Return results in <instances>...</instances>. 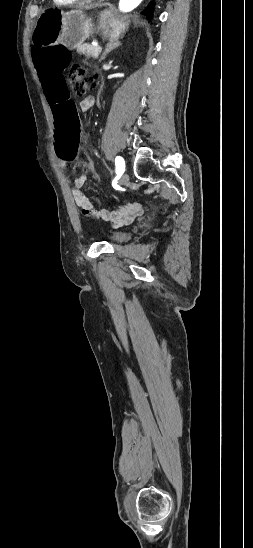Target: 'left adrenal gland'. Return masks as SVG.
<instances>
[{
  "instance_id": "1",
  "label": "left adrenal gland",
  "mask_w": 253,
  "mask_h": 548,
  "mask_svg": "<svg viewBox=\"0 0 253 548\" xmlns=\"http://www.w3.org/2000/svg\"><path fill=\"white\" fill-rule=\"evenodd\" d=\"M121 45V42H109L106 44L105 50L100 58V62L103 61L106 56L115 48L119 47Z\"/></svg>"
}]
</instances>
